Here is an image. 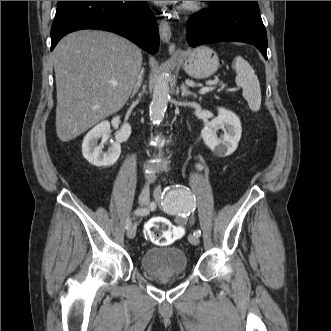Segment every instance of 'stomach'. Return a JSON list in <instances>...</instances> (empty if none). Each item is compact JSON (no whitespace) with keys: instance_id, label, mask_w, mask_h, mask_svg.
I'll use <instances>...</instances> for the list:
<instances>
[{"instance_id":"1","label":"stomach","mask_w":331,"mask_h":331,"mask_svg":"<svg viewBox=\"0 0 331 331\" xmlns=\"http://www.w3.org/2000/svg\"><path fill=\"white\" fill-rule=\"evenodd\" d=\"M182 60L185 72L196 79L208 78L219 68L217 54L207 46H199L184 52Z\"/></svg>"}]
</instances>
